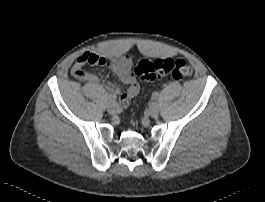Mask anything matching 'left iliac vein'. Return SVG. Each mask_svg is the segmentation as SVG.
I'll list each match as a JSON object with an SVG mask.
<instances>
[{"mask_svg": "<svg viewBox=\"0 0 265 202\" xmlns=\"http://www.w3.org/2000/svg\"><path fill=\"white\" fill-rule=\"evenodd\" d=\"M149 114L152 117H157L159 114V107L157 103H152L149 107Z\"/></svg>", "mask_w": 265, "mask_h": 202, "instance_id": "left-iliac-vein-1", "label": "left iliac vein"}]
</instances>
